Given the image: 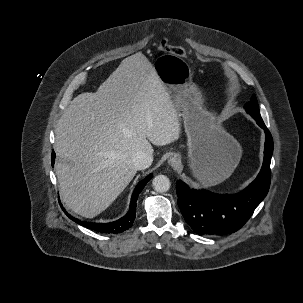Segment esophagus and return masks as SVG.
Here are the masks:
<instances>
[{"label": "esophagus", "instance_id": "1", "mask_svg": "<svg viewBox=\"0 0 303 303\" xmlns=\"http://www.w3.org/2000/svg\"><path fill=\"white\" fill-rule=\"evenodd\" d=\"M168 163L171 166H177L179 163V159L176 155H172L169 159H168Z\"/></svg>", "mask_w": 303, "mask_h": 303}]
</instances>
